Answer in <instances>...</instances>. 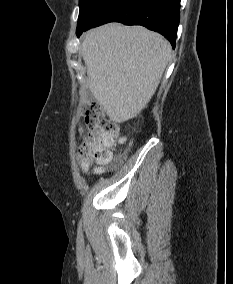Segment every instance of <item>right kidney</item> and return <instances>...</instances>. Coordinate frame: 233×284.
<instances>
[{
    "mask_svg": "<svg viewBox=\"0 0 233 284\" xmlns=\"http://www.w3.org/2000/svg\"><path fill=\"white\" fill-rule=\"evenodd\" d=\"M126 139L125 138H122V139H120V143H123L124 141H125Z\"/></svg>",
    "mask_w": 233,
    "mask_h": 284,
    "instance_id": "ca27d5eb",
    "label": "right kidney"
}]
</instances>
